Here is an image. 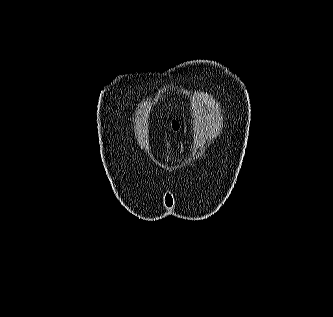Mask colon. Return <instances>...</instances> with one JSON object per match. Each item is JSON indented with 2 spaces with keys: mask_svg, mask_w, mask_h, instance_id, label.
<instances>
[{
  "mask_svg": "<svg viewBox=\"0 0 333 317\" xmlns=\"http://www.w3.org/2000/svg\"><path fill=\"white\" fill-rule=\"evenodd\" d=\"M179 128V125L176 121L173 122V129L177 130Z\"/></svg>",
  "mask_w": 333,
  "mask_h": 317,
  "instance_id": "colon-1",
  "label": "colon"
}]
</instances>
